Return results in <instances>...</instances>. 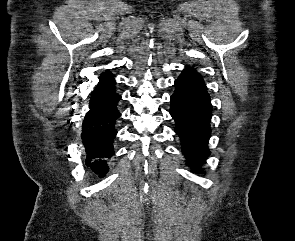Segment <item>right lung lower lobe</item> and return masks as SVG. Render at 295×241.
<instances>
[{"label": "right lung lower lobe", "instance_id": "1", "mask_svg": "<svg viewBox=\"0 0 295 241\" xmlns=\"http://www.w3.org/2000/svg\"><path fill=\"white\" fill-rule=\"evenodd\" d=\"M120 99L114 80L96 86L82 124L81 137L87 155L85 164L100 177L107 173L106 162L114 155L115 124L121 116L117 109Z\"/></svg>", "mask_w": 295, "mask_h": 241}]
</instances>
